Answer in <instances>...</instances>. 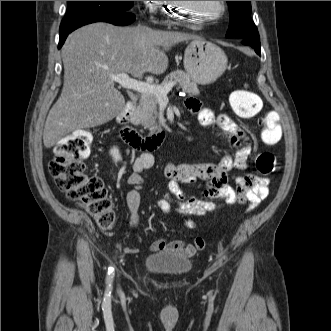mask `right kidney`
Wrapping results in <instances>:
<instances>
[{"mask_svg":"<svg viewBox=\"0 0 331 331\" xmlns=\"http://www.w3.org/2000/svg\"><path fill=\"white\" fill-rule=\"evenodd\" d=\"M110 154L112 155L113 160H114L115 162L121 160V155H120V153H119L118 148L114 147L113 149H111Z\"/></svg>","mask_w":331,"mask_h":331,"instance_id":"right-kidney-1","label":"right kidney"}]
</instances>
